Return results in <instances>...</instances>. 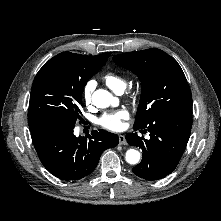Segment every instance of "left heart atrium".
<instances>
[{
  "label": "left heart atrium",
  "mask_w": 221,
  "mask_h": 221,
  "mask_svg": "<svg viewBox=\"0 0 221 221\" xmlns=\"http://www.w3.org/2000/svg\"><path fill=\"white\" fill-rule=\"evenodd\" d=\"M129 114L125 110H119L116 112H111V113H105L103 114L98 122L99 124L112 131H118L121 130L124 126L123 121L128 118Z\"/></svg>",
  "instance_id": "obj_1"
}]
</instances>
